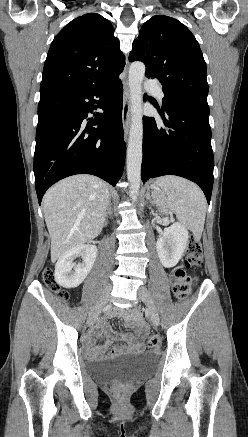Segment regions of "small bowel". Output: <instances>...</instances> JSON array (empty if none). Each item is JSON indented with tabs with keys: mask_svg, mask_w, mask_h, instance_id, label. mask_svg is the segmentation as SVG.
Listing matches in <instances>:
<instances>
[{
	"mask_svg": "<svg viewBox=\"0 0 248 437\" xmlns=\"http://www.w3.org/2000/svg\"><path fill=\"white\" fill-rule=\"evenodd\" d=\"M116 314V311H110L107 316L113 317ZM138 327L140 335L146 331V328L141 323H138ZM100 332H103L106 335V340L103 344L97 345L94 343V337L99 335ZM118 340L123 341L124 344L116 345L111 350L109 354L110 356L117 355L124 351L137 352L143 349V343L137 340L135 336L129 334H118L109 328L105 319H101L97 323L95 329L84 337L85 353L89 358L103 359L107 356L106 351L110 345Z\"/></svg>",
	"mask_w": 248,
	"mask_h": 437,
	"instance_id": "1",
	"label": "small bowel"
}]
</instances>
